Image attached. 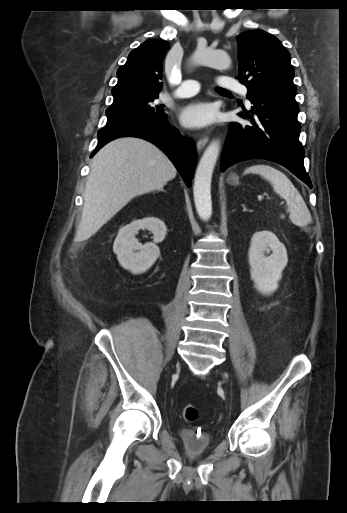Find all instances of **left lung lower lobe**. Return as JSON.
I'll return each mask as SVG.
<instances>
[{"instance_id": "left-lung-lower-lobe-1", "label": "left lung lower lobe", "mask_w": 347, "mask_h": 513, "mask_svg": "<svg viewBox=\"0 0 347 513\" xmlns=\"http://www.w3.org/2000/svg\"><path fill=\"white\" fill-rule=\"evenodd\" d=\"M253 106L245 122L230 123L229 133L221 156V170L242 160L260 158L286 167L310 188L312 183L305 172L304 149L299 142L301 126L295 95L273 92H248Z\"/></svg>"}]
</instances>
